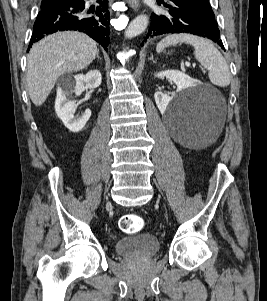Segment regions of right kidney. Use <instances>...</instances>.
Returning <instances> with one entry per match:
<instances>
[{
  "mask_svg": "<svg viewBox=\"0 0 267 301\" xmlns=\"http://www.w3.org/2000/svg\"><path fill=\"white\" fill-rule=\"evenodd\" d=\"M102 77L98 70H92L88 73L75 75L71 82L63 84L57 90L55 100V111L57 116L63 122L65 127L70 131L77 133L81 131L91 117V110L87 109L81 116H74L76 107L75 101H71L68 97L71 93L80 95L88 88H97L101 85Z\"/></svg>",
  "mask_w": 267,
  "mask_h": 301,
  "instance_id": "obj_1",
  "label": "right kidney"
}]
</instances>
